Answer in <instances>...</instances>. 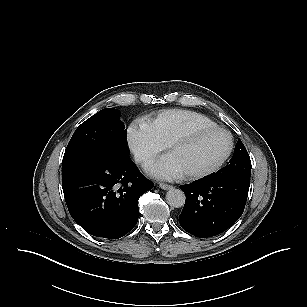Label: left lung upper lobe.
<instances>
[{"mask_svg": "<svg viewBox=\"0 0 307 307\" xmlns=\"http://www.w3.org/2000/svg\"><path fill=\"white\" fill-rule=\"evenodd\" d=\"M251 161L247 150L240 139L235 146L234 155L230 159L229 164L220 169L217 173H213L208 177L215 179H225L231 177H249L251 175Z\"/></svg>", "mask_w": 307, "mask_h": 307, "instance_id": "5c2ea615", "label": "left lung upper lobe"}]
</instances>
